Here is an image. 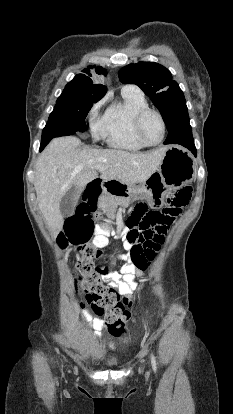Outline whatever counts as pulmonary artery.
<instances>
[{
    "instance_id": "1",
    "label": "pulmonary artery",
    "mask_w": 233,
    "mask_h": 414,
    "mask_svg": "<svg viewBox=\"0 0 233 414\" xmlns=\"http://www.w3.org/2000/svg\"><path fill=\"white\" fill-rule=\"evenodd\" d=\"M124 88H129V89L138 90L135 86H132V85L125 86ZM138 91H139V90H138Z\"/></svg>"
}]
</instances>
